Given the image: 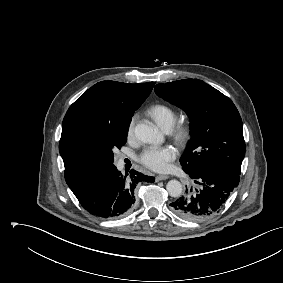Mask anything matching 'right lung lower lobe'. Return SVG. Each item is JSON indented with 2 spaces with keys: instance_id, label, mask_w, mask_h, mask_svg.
I'll list each match as a JSON object with an SVG mask.
<instances>
[{
  "instance_id": "obj_1",
  "label": "right lung lower lobe",
  "mask_w": 283,
  "mask_h": 283,
  "mask_svg": "<svg viewBox=\"0 0 283 283\" xmlns=\"http://www.w3.org/2000/svg\"><path fill=\"white\" fill-rule=\"evenodd\" d=\"M154 177L134 170L123 176L112 165L101 174L71 189L90 214L101 218H118L129 213L134 201V190L141 181L154 182Z\"/></svg>"
}]
</instances>
